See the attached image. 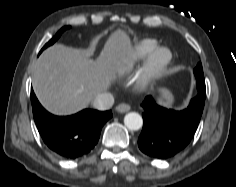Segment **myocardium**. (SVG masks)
Returning a JSON list of instances; mask_svg holds the SVG:
<instances>
[{
    "label": "myocardium",
    "mask_w": 236,
    "mask_h": 187,
    "mask_svg": "<svg viewBox=\"0 0 236 187\" xmlns=\"http://www.w3.org/2000/svg\"><path fill=\"white\" fill-rule=\"evenodd\" d=\"M173 59L172 52L167 47L156 48L146 59L136 77V86L141 90L152 88L168 69Z\"/></svg>",
    "instance_id": "myocardium-1"
}]
</instances>
